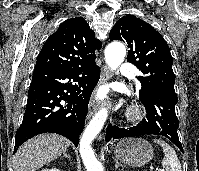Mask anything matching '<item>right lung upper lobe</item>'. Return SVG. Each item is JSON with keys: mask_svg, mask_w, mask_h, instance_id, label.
Masks as SVG:
<instances>
[{"mask_svg": "<svg viewBox=\"0 0 199 171\" xmlns=\"http://www.w3.org/2000/svg\"><path fill=\"white\" fill-rule=\"evenodd\" d=\"M101 45L84 18L67 19L43 45L35 70L85 65L95 60V50Z\"/></svg>", "mask_w": 199, "mask_h": 171, "instance_id": "right-lung-upper-lobe-1", "label": "right lung upper lobe"}]
</instances>
